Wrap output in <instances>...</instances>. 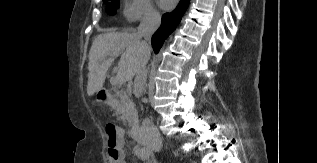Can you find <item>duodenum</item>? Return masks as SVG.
Wrapping results in <instances>:
<instances>
[{
    "mask_svg": "<svg viewBox=\"0 0 317 163\" xmlns=\"http://www.w3.org/2000/svg\"><path fill=\"white\" fill-rule=\"evenodd\" d=\"M101 92L104 96L108 95V92L105 89H103ZM130 131H131L132 138L138 143V145L141 147L147 148L145 137L140 126L133 125Z\"/></svg>",
    "mask_w": 317,
    "mask_h": 163,
    "instance_id": "duodenum-1",
    "label": "duodenum"
}]
</instances>
